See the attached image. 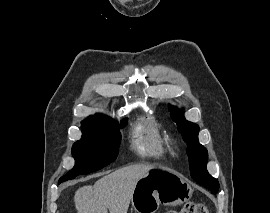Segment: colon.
I'll use <instances>...</instances> for the list:
<instances>
[{"label": "colon", "instance_id": "1", "mask_svg": "<svg viewBox=\"0 0 270 213\" xmlns=\"http://www.w3.org/2000/svg\"><path fill=\"white\" fill-rule=\"evenodd\" d=\"M166 213H209L208 208L201 203H187L180 211L169 210Z\"/></svg>", "mask_w": 270, "mask_h": 213}]
</instances>
